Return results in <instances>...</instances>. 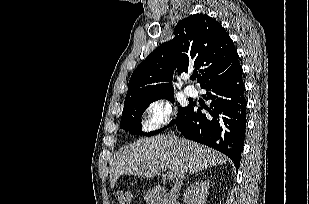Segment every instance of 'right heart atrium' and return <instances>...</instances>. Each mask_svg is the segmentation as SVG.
<instances>
[{
    "instance_id": "right-heart-atrium-1",
    "label": "right heart atrium",
    "mask_w": 309,
    "mask_h": 204,
    "mask_svg": "<svg viewBox=\"0 0 309 204\" xmlns=\"http://www.w3.org/2000/svg\"><path fill=\"white\" fill-rule=\"evenodd\" d=\"M172 115V106L166 99L157 98L150 101L145 108L143 127L155 130L165 125Z\"/></svg>"
}]
</instances>
